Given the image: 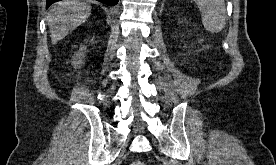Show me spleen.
I'll use <instances>...</instances> for the list:
<instances>
[{"mask_svg": "<svg viewBox=\"0 0 276 165\" xmlns=\"http://www.w3.org/2000/svg\"><path fill=\"white\" fill-rule=\"evenodd\" d=\"M201 11L204 28L218 33L225 27L226 7L224 0H194Z\"/></svg>", "mask_w": 276, "mask_h": 165, "instance_id": "spleen-1", "label": "spleen"}]
</instances>
